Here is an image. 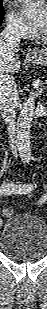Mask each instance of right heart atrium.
Wrapping results in <instances>:
<instances>
[{
    "mask_svg": "<svg viewBox=\"0 0 47 309\" xmlns=\"http://www.w3.org/2000/svg\"><path fill=\"white\" fill-rule=\"evenodd\" d=\"M7 28L17 37L24 38L30 35L29 26L13 11L9 10L6 16Z\"/></svg>",
    "mask_w": 47,
    "mask_h": 309,
    "instance_id": "1",
    "label": "right heart atrium"
}]
</instances>
